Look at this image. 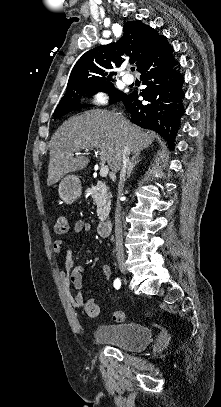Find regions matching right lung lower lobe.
Here are the masks:
<instances>
[{
  "label": "right lung lower lobe",
  "mask_w": 221,
  "mask_h": 407,
  "mask_svg": "<svg viewBox=\"0 0 221 407\" xmlns=\"http://www.w3.org/2000/svg\"><path fill=\"white\" fill-rule=\"evenodd\" d=\"M172 52L173 49L167 44L159 56L139 71L142 83L147 85L141 92L145 103L137 99L136 91L125 94L119 100L130 113L133 123L158 132L170 145L175 142L180 118L184 113V78L179 73V65Z\"/></svg>",
  "instance_id": "98d812e1"
}]
</instances>
